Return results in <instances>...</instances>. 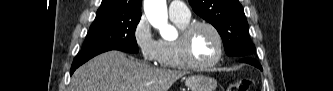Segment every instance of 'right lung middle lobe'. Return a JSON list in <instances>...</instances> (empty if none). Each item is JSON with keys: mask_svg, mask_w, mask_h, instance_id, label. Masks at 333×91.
Returning <instances> with one entry per match:
<instances>
[{"mask_svg": "<svg viewBox=\"0 0 333 91\" xmlns=\"http://www.w3.org/2000/svg\"><path fill=\"white\" fill-rule=\"evenodd\" d=\"M141 15L104 16L95 18L83 44L82 53L120 50L139 51L135 30Z\"/></svg>", "mask_w": 333, "mask_h": 91, "instance_id": "obj_1", "label": "right lung middle lobe"}]
</instances>
